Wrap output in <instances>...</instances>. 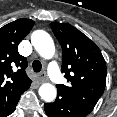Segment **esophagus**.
Segmentation results:
<instances>
[{
  "mask_svg": "<svg viewBox=\"0 0 117 117\" xmlns=\"http://www.w3.org/2000/svg\"><path fill=\"white\" fill-rule=\"evenodd\" d=\"M46 80V74L45 72H42L39 74V82L43 83Z\"/></svg>",
  "mask_w": 117,
  "mask_h": 117,
  "instance_id": "obj_1",
  "label": "esophagus"
}]
</instances>
